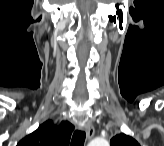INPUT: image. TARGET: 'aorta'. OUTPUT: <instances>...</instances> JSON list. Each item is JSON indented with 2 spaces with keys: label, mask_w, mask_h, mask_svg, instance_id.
Wrapping results in <instances>:
<instances>
[{
  "label": "aorta",
  "mask_w": 164,
  "mask_h": 146,
  "mask_svg": "<svg viewBox=\"0 0 164 146\" xmlns=\"http://www.w3.org/2000/svg\"><path fill=\"white\" fill-rule=\"evenodd\" d=\"M90 146H108V141L102 138L94 139Z\"/></svg>",
  "instance_id": "762f6f07"
}]
</instances>
